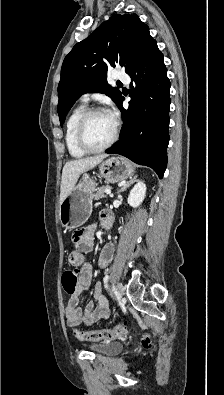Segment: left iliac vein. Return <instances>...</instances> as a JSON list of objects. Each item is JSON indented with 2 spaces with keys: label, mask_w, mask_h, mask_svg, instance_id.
Segmentation results:
<instances>
[{
  "label": "left iliac vein",
  "mask_w": 224,
  "mask_h": 395,
  "mask_svg": "<svg viewBox=\"0 0 224 395\" xmlns=\"http://www.w3.org/2000/svg\"><path fill=\"white\" fill-rule=\"evenodd\" d=\"M116 294H117L119 299H122V297L124 295V286L120 282H118L117 285H116Z\"/></svg>",
  "instance_id": "4c4485c4"
}]
</instances>
